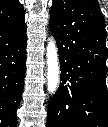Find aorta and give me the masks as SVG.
<instances>
[{
	"label": "aorta",
	"mask_w": 108,
	"mask_h": 127,
	"mask_svg": "<svg viewBox=\"0 0 108 127\" xmlns=\"http://www.w3.org/2000/svg\"><path fill=\"white\" fill-rule=\"evenodd\" d=\"M60 69L57 46L54 37H50L47 44V89L54 93L59 85Z\"/></svg>",
	"instance_id": "1"
}]
</instances>
